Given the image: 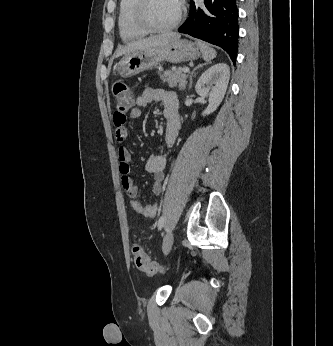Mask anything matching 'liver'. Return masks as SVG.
Masks as SVG:
<instances>
[{
	"mask_svg": "<svg viewBox=\"0 0 333 346\" xmlns=\"http://www.w3.org/2000/svg\"><path fill=\"white\" fill-rule=\"evenodd\" d=\"M177 39H180V34L178 33H166V34H162L158 36H152L146 39L129 43L126 46L117 49L114 57H119L121 55L130 53L136 50L166 45L170 43L171 41H174Z\"/></svg>",
	"mask_w": 333,
	"mask_h": 346,
	"instance_id": "liver-1",
	"label": "liver"
}]
</instances>
